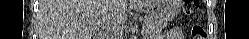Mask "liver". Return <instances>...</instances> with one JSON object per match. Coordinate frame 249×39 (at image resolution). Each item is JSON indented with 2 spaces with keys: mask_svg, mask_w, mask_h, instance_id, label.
<instances>
[{
  "mask_svg": "<svg viewBox=\"0 0 249 39\" xmlns=\"http://www.w3.org/2000/svg\"><path fill=\"white\" fill-rule=\"evenodd\" d=\"M127 5V0H41L39 39H92L98 21L107 30L123 24Z\"/></svg>",
  "mask_w": 249,
  "mask_h": 39,
  "instance_id": "liver-1",
  "label": "liver"
}]
</instances>
